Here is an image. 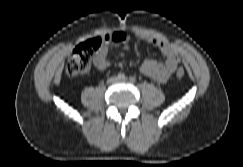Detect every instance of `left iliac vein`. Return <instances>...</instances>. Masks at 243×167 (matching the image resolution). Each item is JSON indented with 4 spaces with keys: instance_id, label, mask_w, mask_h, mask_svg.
I'll use <instances>...</instances> for the list:
<instances>
[{
    "instance_id": "4c4485c4",
    "label": "left iliac vein",
    "mask_w": 243,
    "mask_h": 167,
    "mask_svg": "<svg viewBox=\"0 0 243 167\" xmlns=\"http://www.w3.org/2000/svg\"><path fill=\"white\" fill-rule=\"evenodd\" d=\"M127 79H123L122 81H126Z\"/></svg>"
}]
</instances>
